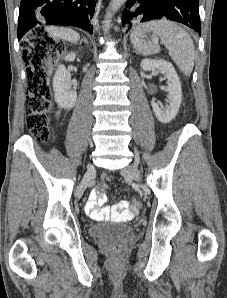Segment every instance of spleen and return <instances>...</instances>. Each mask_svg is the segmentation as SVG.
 Wrapping results in <instances>:
<instances>
[{
    "label": "spleen",
    "instance_id": "3e777b00",
    "mask_svg": "<svg viewBox=\"0 0 227 298\" xmlns=\"http://www.w3.org/2000/svg\"><path fill=\"white\" fill-rule=\"evenodd\" d=\"M147 32L153 33V43L144 40ZM158 38L169 50L170 57L179 69L185 75H190L194 67L195 48L191 36L183 28L166 19L154 20L139 25L130 35L134 48L143 55L160 51L156 43Z\"/></svg>",
    "mask_w": 227,
    "mask_h": 298
}]
</instances>
